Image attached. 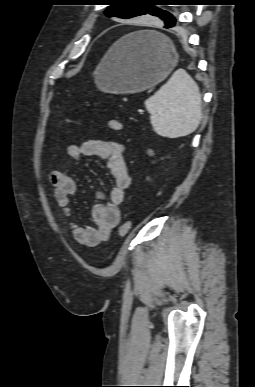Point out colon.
<instances>
[{
  "instance_id": "5ec220e1",
  "label": "colon",
  "mask_w": 255,
  "mask_h": 387,
  "mask_svg": "<svg viewBox=\"0 0 255 387\" xmlns=\"http://www.w3.org/2000/svg\"><path fill=\"white\" fill-rule=\"evenodd\" d=\"M107 126L114 132H120L123 129V124L117 119H109ZM131 229V222L125 221L118 227V234L121 237L126 236Z\"/></svg>"
}]
</instances>
